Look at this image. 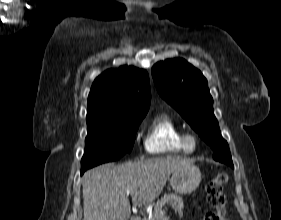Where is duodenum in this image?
Wrapping results in <instances>:
<instances>
[{
	"instance_id": "1",
	"label": "duodenum",
	"mask_w": 281,
	"mask_h": 220,
	"mask_svg": "<svg viewBox=\"0 0 281 220\" xmlns=\"http://www.w3.org/2000/svg\"><path fill=\"white\" fill-rule=\"evenodd\" d=\"M130 220H139V218L138 217H131Z\"/></svg>"
}]
</instances>
